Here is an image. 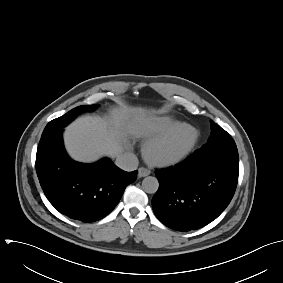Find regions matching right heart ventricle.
<instances>
[{
    "label": "right heart ventricle",
    "mask_w": 283,
    "mask_h": 283,
    "mask_svg": "<svg viewBox=\"0 0 283 283\" xmlns=\"http://www.w3.org/2000/svg\"><path fill=\"white\" fill-rule=\"evenodd\" d=\"M180 124H182V122L171 117L158 118L147 127L144 135L147 138L154 140L167 134Z\"/></svg>",
    "instance_id": "right-heart-ventricle-1"
}]
</instances>
